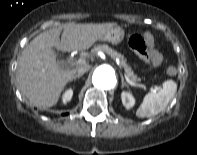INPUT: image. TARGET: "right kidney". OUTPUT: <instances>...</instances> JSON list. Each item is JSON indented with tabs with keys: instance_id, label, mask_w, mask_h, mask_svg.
<instances>
[{
	"instance_id": "obj_1",
	"label": "right kidney",
	"mask_w": 197,
	"mask_h": 155,
	"mask_svg": "<svg viewBox=\"0 0 197 155\" xmlns=\"http://www.w3.org/2000/svg\"><path fill=\"white\" fill-rule=\"evenodd\" d=\"M73 96V90L70 88L68 90L65 91V93L62 96V102L64 104H66L67 102H69L72 99Z\"/></svg>"
}]
</instances>
